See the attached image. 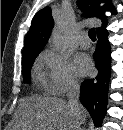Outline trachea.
Masks as SVG:
<instances>
[{"instance_id": "3493384b", "label": "trachea", "mask_w": 123, "mask_h": 130, "mask_svg": "<svg viewBox=\"0 0 123 130\" xmlns=\"http://www.w3.org/2000/svg\"><path fill=\"white\" fill-rule=\"evenodd\" d=\"M88 35L90 37L91 40L95 41L96 40V32H95V29H90L89 32H88Z\"/></svg>"}]
</instances>
